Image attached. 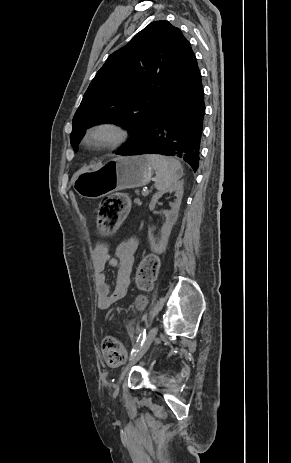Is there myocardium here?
<instances>
[{
    "label": "myocardium",
    "mask_w": 291,
    "mask_h": 463,
    "mask_svg": "<svg viewBox=\"0 0 291 463\" xmlns=\"http://www.w3.org/2000/svg\"><path fill=\"white\" fill-rule=\"evenodd\" d=\"M129 138L127 128L117 122H98L88 127L82 137L85 146L93 149H116Z\"/></svg>",
    "instance_id": "myocardium-1"
}]
</instances>
